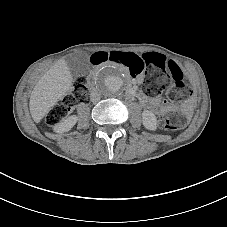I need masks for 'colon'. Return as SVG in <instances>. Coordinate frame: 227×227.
<instances>
[{
  "label": "colon",
  "instance_id": "colon-1",
  "mask_svg": "<svg viewBox=\"0 0 227 227\" xmlns=\"http://www.w3.org/2000/svg\"><path fill=\"white\" fill-rule=\"evenodd\" d=\"M95 65L114 63L127 70L132 76L143 74V87L150 95H159L168 87L167 73L171 75L174 86L169 91L171 100H177L189 93V89L183 80L181 69L173 62L157 53L137 55L131 52H98L92 56ZM88 100L86 81L78 78L73 82L72 90L47 114L46 122L49 126H55L63 120L77 105L85 104ZM185 122L183 114L178 112L165 113L161 116L159 124L164 130L176 131L182 128Z\"/></svg>",
  "mask_w": 227,
  "mask_h": 227
}]
</instances>
